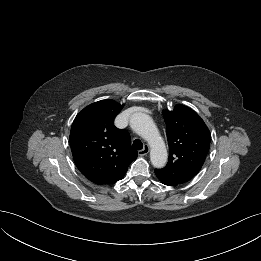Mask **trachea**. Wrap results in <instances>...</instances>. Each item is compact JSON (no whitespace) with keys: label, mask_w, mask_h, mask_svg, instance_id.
I'll list each match as a JSON object with an SVG mask.
<instances>
[{"label":"trachea","mask_w":261,"mask_h":261,"mask_svg":"<svg viewBox=\"0 0 261 261\" xmlns=\"http://www.w3.org/2000/svg\"><path fill=\"white\" fill-rule=\"evenodd\" d=\"M133 148L136 150H141L143 149V144L140 140L136 139L133 141Z\"/></svg>","instance_id":"1"}]
</instances>
